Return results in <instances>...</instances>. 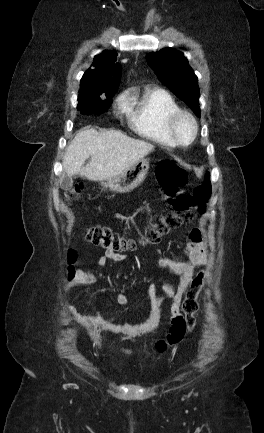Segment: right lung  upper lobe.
Masks as SVG:
<instances>
[{"instance_id":"1","label":"right lung upper lobe","mask_w":264,"mask_h":433,"mask_svg":"<svg viewBox=\"0 0 264 433\" xmlns=\"http://www.w3.org/2000/svg\"><path fill=\"white\" fill-rule=\"evenodd\" d=\"M116 56L114 52L104 51L94 58L92 68H89L81 79L78 99L115 94L122 75L121 65L115 63Z\"/></svg>"}]
</instances>
